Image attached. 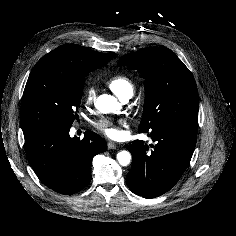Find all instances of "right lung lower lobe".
Listing matches in <instances>:
<instances>
[{"label": "right lung lower lobe", "instance_id": "98d812e1", "mask_svg": "<svg viewBox=\"0 0 236 236\" xmlns=\"http://www.w3.org/2000/svg\"><path fill=\"white\" fill-rule=\"evenodd\" d=\"M70 128L38 126L24 130L27 159L40 181L50 189L72 195L91 180L95 155L107 144L98 134L86 131L82 140L71 138Z\"/></svg>", "mask_w": 236, "mask_h": 236}]
</instances>
